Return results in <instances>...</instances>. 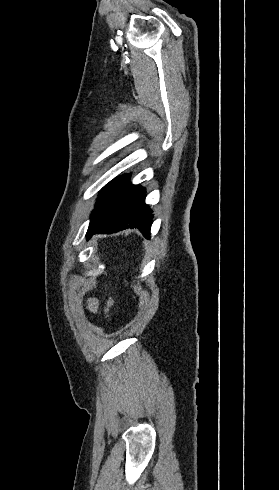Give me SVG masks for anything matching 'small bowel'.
Returning <instances> with one entry per match:
<instances>
[{"mask_svg": "<svg viewBox=\"0 0 279 490\" xmlns=\"http://www.w3.org/2000/svg\"><path fill=\"white\" fill-rule=\"evenodd\" d=\"M97 306H96V302L95 301H90L89 303V310L94 312L96 310Z\"/></svg>", "mask_w": 279, "mask_h": 490, "instance_id": "obj_1", "label": "small bowel"}]
</instances>
